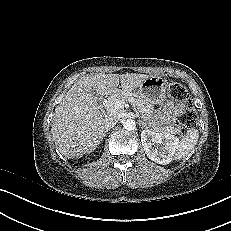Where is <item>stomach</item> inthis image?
<instances>
[{"label": "stomach", "mask_w": 231, "mask_h": 231, "mask_svg": "<svg viewBox=\"0 0 231 231\" xmlns=\"http://www.w3.org/2000/svg\"><path fill=\"white\" fill-rule=\"evenodd\" d=\"M168 82L161 76H150L137 89V94L150 104H160L166 99Z\"/></svg>", "instance_id": "obj_1"}]
</instances>
